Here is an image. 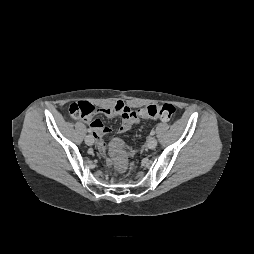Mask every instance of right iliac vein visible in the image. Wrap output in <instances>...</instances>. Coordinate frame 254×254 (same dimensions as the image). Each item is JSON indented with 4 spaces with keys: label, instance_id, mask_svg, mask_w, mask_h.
Masks as SVG:
<instances>
[{
    "label": "right iliac vein",
    "instance_id": "right-iliac-vein-1",
    "mask_svg": "<svg viewBox=\"0 0 254 254\" xmlns=\"http://www.w3.org/2000/svg\"><path fill=\"white\" fill-rule=\"evenodd\" d=\"M85 143L89 146L94 144V138L91 135L85 137Z\"/></svg>",
    "mask_w": 254,
    "mask_h": 254
}]
</instances>
